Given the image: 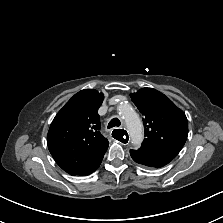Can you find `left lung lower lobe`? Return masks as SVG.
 I'll return each instance as SVG.
<instances>
[{
	"mask_svg": "<svg viewBox=\"0 0 223 223\" xmlns=\"http://www.w3.org/2000/svg\"><path fill=\"white\" fill-rule=\"evenodd\" d=\"M130 155L136 163L153 168H160L174 158L166 153L142 146L138 150H130Z\"/></svg>",
	"mask_w": 223,
	"mask_h": 223,
	"instance_id": "0a47b994",
	"label": "left lung lower lobe"
}]
</instances>
